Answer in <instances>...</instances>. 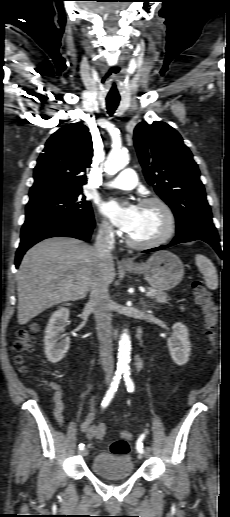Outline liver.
Listing matches in <instances>:
<instances>
[{"label":"liver","instance_id":"liver-1","mask_svg":"<svg viewBox=\"0 0 230 517\" xmlns=\"http://www.w3.org/2000/svg\"><path fill=\"white\" fill-rule=\"evenodd\" d=\"M98 268L95 248L76 239L49 238L34 245L16 275L18 323L26 324L53 305L85 298ZM105 272L112 283L116 275L113 257Z\"/></svg>","mask_w":230,"mask_h":517}]
</instances>
